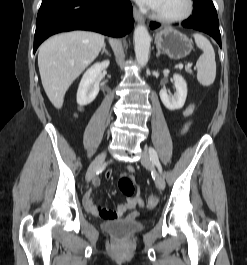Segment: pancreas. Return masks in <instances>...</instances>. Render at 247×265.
<instances>
[{
  "label": "pancreas",
  "mask_w": 247,
  "mask_h": 265,
  "mask_svg": "<svg viewBox=\"0 0 247 265\" xmlns=\"http://www.w3.org/2000/svg\"><path fill=\"white\" fill-rule=\"evenodd\" d=\"M186 71H187L188 73L192 74V70H191L190 68L186 67Z\"/></svg>",
  "instance_id": "pancreas-1"
}]
</instances>
